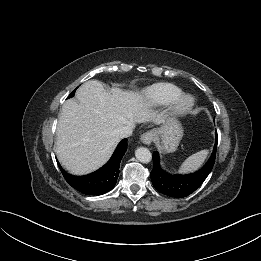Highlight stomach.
Here are the masks:
<instances>
[{"label": "stomach", "instance_id": "stomach-1", "mask_svg": "<svg viewBox=\"0 0 261 261\" xmlns=\"http://www.w3.org/2000/svg\"><path fill=\"white\" fill-rule=\"evenodd\" d=\"M158 147L164 153L176 151L183 136L181 124L174 118H167L160 128L154 131Z\"/></svg>", "mask_w": 261, "mask_h": 261}]
</instances>
